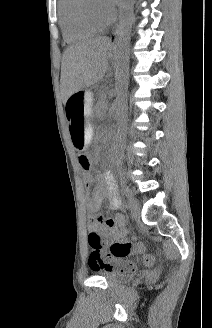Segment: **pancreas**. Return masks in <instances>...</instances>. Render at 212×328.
Listing matches in <instances>:
<instances>
[{"mask_svg": "<svg viewBox=\"0 0 212 328\" xmlns=\"http://www.w3.org/2000/svg\"><path fill=\"white\" fill-rule=\"evenodd\" d=\"M98 107H99V109H106L107 108V103L104 100H101L98 103Z\"/></svg>", "mask_w": 212, "mask_h": 328, "instance_id": "1", "label": "pancreas"}]
</instances>
